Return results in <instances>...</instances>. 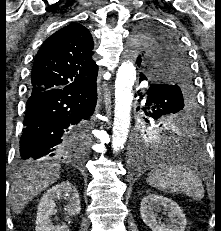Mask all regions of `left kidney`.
Here are the masks:
<instances>
[{
	"mask_svg": "<svg viewBox=\"0 0 221 231\" xmlns=\"http://www.w3.org/2000/svg\"><path fill=\"white\" fill-rule=\"evenodd\" d=\"M161 208L168 215L167 223L157 220L156 212ZM140 214L143 222L152 231H185L187 223L185 214L178 204L169 198L157 194L147 195L141 202Z\"/></svg>",
	"mask_w": 221,
	"mask_h": 231,
	"instance_id": "1",
	"label": "left kidney"
}]
</instances>
